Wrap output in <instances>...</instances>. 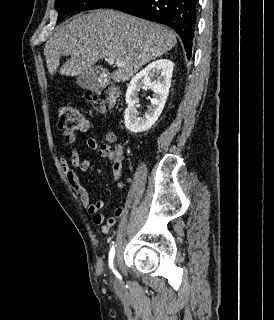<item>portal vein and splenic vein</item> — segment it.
I'll use <instances>...</instances> for the list:
<instances>
[{
	"mask_svg": "<svg viewBox=\"0 0 274 320\" xmlns=\"http://www.w3.org/2000/svg\"><path fill=\"white\" fill-rule=\"evenodd\" d=\"M106 62H108L109 66H122L123 62H117L114 58H107Z\"/></svg>",
	"mask_w": 274,
	"mask_h": 320,
	"instance_id": "1",
	"label": "portal vein and splenic vein"
}]
</instances>
